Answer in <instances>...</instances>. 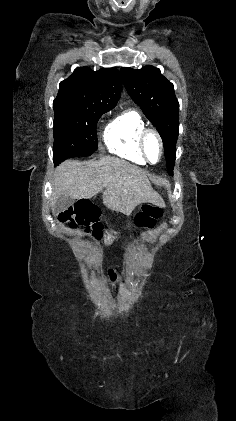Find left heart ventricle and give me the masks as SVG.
<instances>
[{"instance_id":"b2bd125f","label":"left heart ventricle","mask_w":236,"mask_h":421,"mask_svg":"<svg viewBox=\"0 0 236 421\" xmlns=\"http://www.w3.org/2000/svg\"><path fill=\"white\" fill-rule=\"evenodd\" d=\"M147 153L151 162L156 163L159 161L161 155V148L159 141L154 136H150L147 139Z\"/></svg>"}]
</instances>
